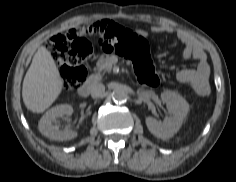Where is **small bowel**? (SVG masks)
<instances>
[{
    "label": "small bowel",
    "instance_id": "obj_1",
    "mask_svg": "<svg viewBox=\"0 0 236 182\" xmlns=\"http://www.w3.org/2000/svg\"><path fill=\"white\" fill-rule=\"evenodd\" d=\"M152 30L155 33H175V30L168 25L154 26ZM176 35L183 44V58L197 60L194 68L179 70L176 75L177 80L183 84H188L197 96L204 97L210 92V66L207 61V55L199 41L190 38L182 32H177Z\"/></svg>",
    "mask_w": 236,
    "mask_h": 182
}]
</instances>
